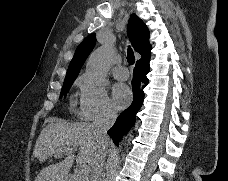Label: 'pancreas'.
Segmentation results:
<instances>
[{
  "label": "pancreas",
  "instance_id": "obj_1",
  "mask_svg": "<svg viewBox=\"0 0 228 181\" xmlns=\"http://www.w3.org/2000/svg\"><path fill=\"white\" fill-rule=\"evenodd\" d=\"M81 177H84V179H81ZM89 173L88 175H80L78 169L74 171L72 177L70 179H73V181H88Z\"/></svg>",
  "mask_w": 228,
  "mask_h": 181
}]
</instances>
